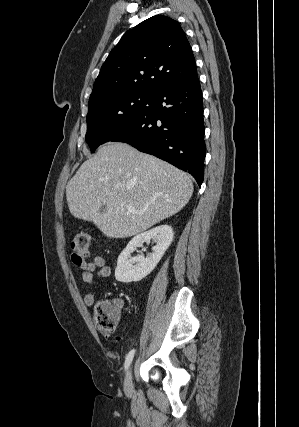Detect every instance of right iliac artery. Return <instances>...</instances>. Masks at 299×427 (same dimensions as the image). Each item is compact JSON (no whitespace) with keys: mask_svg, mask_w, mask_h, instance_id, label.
<instances>
[{"mask_svg":"<svg viewBox=\"0 0 299 427\" xmlns=\"http://www.w3.org/2000/svg\"><path fill=\"white\" fill-rule=\"evenodd\" d=\"M134 353H135V350L133 349V350H131V351L128 353V355L126 356V360H125V364H124L125 371L129 368V366H130V364H131V362H132V359H133Z\"/></svg>","mask_w":299,"mask_h":427,"instance_id":"obj_1","label":"right iliac artery"}]
</instances>
